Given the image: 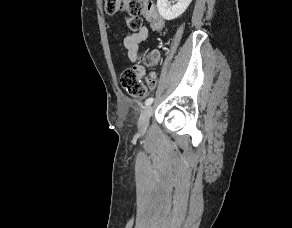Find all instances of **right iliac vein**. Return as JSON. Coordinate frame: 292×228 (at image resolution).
<instances>
[{
    "mask_svg": "<svg viewBox=\"0 0 292 228\" xmlns=\"http://www.w3.org/2000/svg\"><path fill=\"white\" fill-rule=\"evenodd\" d=\"M152 111H153L152 107L148 106L142 111L140 115V118L138 121V129H139V132L142 134L145 133V131L147 130L149 119L152 115Z\"/></svg>",
    "mask_w": 292,
    "mask_h": 228,
    "instance_id": "63e3f726",
    "label": "right iliac vein"
}]
</instances>
